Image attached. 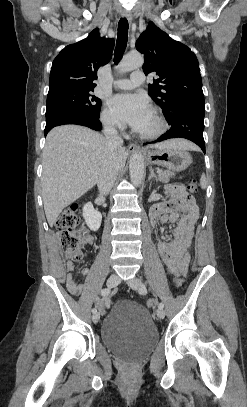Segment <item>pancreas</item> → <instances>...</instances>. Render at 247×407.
Wrapping results in <instances>:
<instances>
[{
  "label": "pancreas",
  "instance_id": "1",
  "mask_svg": "<svg viewBox=\"0 0 247 407\" xmlns=\"http://www.w3.org/2000/svg\"><path fill=\"white\" fill-rule=\"evenodd\" d=\"M174 176H175V173L173 171L164 170L158 174V180L163 183H168L170 181V178H172Z\"/></svg>",
  "mask_w": 247,
  "mask_h": 407
}]
</instances>
